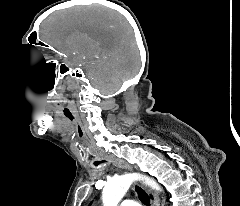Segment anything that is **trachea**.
<instances>
[{
	"label": "trachea",
	"mask_w": 240,
	"mask_h": 206,
	"mask_svg": "<svg viewBox=\"0 0 240 206\" xmlns=\"http://www.w3.org/2000/svg\"><path fill=\"white\" fill-rule=\"evenodd\" d=\"M100 162H95L94 164L95 165H98ZM135 189L140 197V200L146 204L147 206L150 205V201H149V197L148 195L146 194V192L139 186H135Z\"/></svg>",
	"instance_id": "3493384b"
}]
</instances>
